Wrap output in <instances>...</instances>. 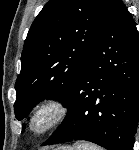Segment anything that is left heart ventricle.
Wrapping results in <instances>:
<instances>
[{
  "instance_id": "1",
  "label": "left heart ventricle",
  "mask_w": 139,
  "mask_h": 150,
  "mask_svg": "<svg viewBox=\"0 0 139 150\" xmlns=\"http://www.w3.org/2000/svg\"><path fill=\"white\" fill-rule=\"evenodd\" d=\"M46 116H41L38 118L37 122H36V126L37 127H41L44 125V123L46 122Z\"/></svg>"
}]
</instances>
